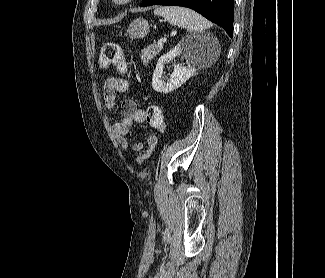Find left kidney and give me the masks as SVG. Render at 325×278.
<instances>
[{
    "label": "left kidney",
    "instance_id": "left-kidney-1",
    "mask_svg": "<svg viewBox=\"0 0 325 278\" xmlns=\"http://www.w3.org/2000/svg\"><path fill=\"white\" fill-rule=\"evenodd\" d=\"M206 45L207 41L188 36L181 40L171 51L161 56L152 77L153 89L166 94L181 87L197 71L196 59ZM180 55L186 60L187 66L174 63V70L170 75V79L165 80L163 77L164 65Z\"/></svg>",
    "mask_w": 325,
    "mask_h": 278
}]
</instances>
